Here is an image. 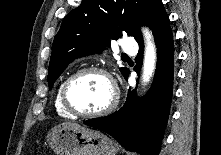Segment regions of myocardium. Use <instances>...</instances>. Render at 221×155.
<instances>
[{
	"instance_id": "1",
	"label": "myocardium",
	"mask_w": 221,
	"mask_h": 155,
	"mask_svg": "<svg viewBox=\"0 0 221 155\" xmlns=\"http://www.w3.org/2000/svg\"><path fill=\"white\" fill-rule=\"evenodd\" d=\"M100 74L104 76L107 81L109 82L112 90V96L110 102L101 110L96 112H81L76 110L70 103L68 99V91L72 83L79 77L85 74ZM61 103L66 111H68L71 115L75 117H82V118H98L102 116H106L111 113L118 105L119 102V89L117 86L116 81L114 80L113 76L104 68L91 66L79 69L72 75H70L63 83L61 89Z\"/></svg>"
}]
</instances>
